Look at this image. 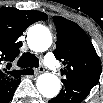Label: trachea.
Listing matches in <instances>:
<instances>
[{"label":"trachea","instance_id":"obj_1","mask_svg":"<svg viewBox=\"0 0 103 103\" xmlns=\"http://www.w3.org/2000/svg\"><path fill=\"white\" fill-rule=\"evenodd\" d=\"M39 60L38 58L29 52L24 53L18 60L17 65L19 67H35L38 68Z\"/></svg>","mask_w":103,"mask_h":103}]
</instances>
